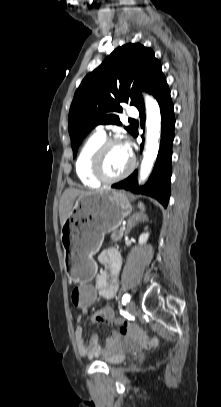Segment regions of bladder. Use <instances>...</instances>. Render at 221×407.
I'll return each mask as SVG.
<instances>
[{
    "instance_id": "31cf9c89",
    "label": "bladder",
    "mask_w": 221,
    "mask_h": 407,
    "mask_svg": "<svg viewBox=\"0 0 221 407\" xmlns=\"http://www.w3.org/2000/svg\"><path fill=\"white\" fill-rule=\"evenodd\" d=\"M126 358V355L122 352H120L118 349L105 354L103 357V361L111 366L119 365L121 364Z\"/></svg>"
}]
</instances>
